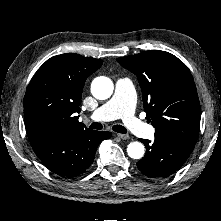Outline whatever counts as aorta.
<instances>
[{
  "instance_id": "aorta-1",
  "label": "aorta",
  "mask_w": 221,
  "mask_h": 221,
  "mask_svg": "<svg viewBox=\"0 0 221 221\" xmlns=\"http://www.w3.org/2000/svg\"><path fill=\"white\" fill-rule=\"evenodd\" d=\"M113 82L108 77L100 76L91 84L92 95L99 100L109 98L113 93ZM127 153L132 159H140L144 156L145 148L140 142H131L127 147Z\"/></svg>"
}]
</instances>
